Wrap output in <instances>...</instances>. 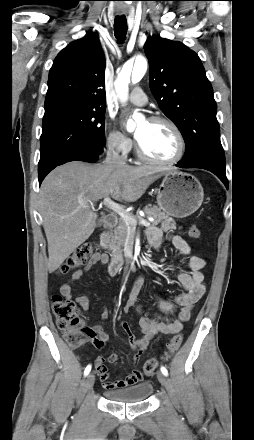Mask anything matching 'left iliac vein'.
Instances as JSON below:
<instances>
[{"instance_id": "left-iliac-vein-1", "label": "left iliac vein", "mask_w": 254, "mask_h": 440, "mask_svg": "<svg viewBox=\"0 0 254 440\" xmlns=\"http://www.w3.org/2000/svg\"><path fill=\"white\" fill-rule=\"evenodd\" d=\"M157 378H158L159 382L164 387L168 388V380H167L166 376L162 372H160V371L157 372Z\"/></svg>"}]
</instances>
